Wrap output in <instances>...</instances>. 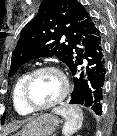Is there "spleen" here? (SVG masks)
<instances>
[{"label":"spleen","mask_w":117,"mask_h":136,"mask_svg":"<svg viewBox=\"0 0 117 136\" xmlns=\"http://www.w3.org/2000/svg\"><path fill=\"white\" fill-rule=\"evenodd\" d=\"M53 112L62 116L65 123L62 129L64 136H71L81 128L83 122V112L77 105H62L53 109Z\"/></svg>","instance_id":"spleen-1"}]
</instances>
